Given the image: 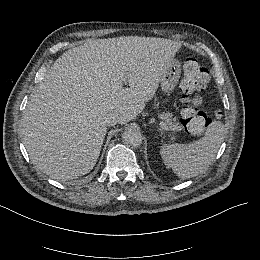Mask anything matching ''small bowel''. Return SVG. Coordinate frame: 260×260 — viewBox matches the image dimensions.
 I'll use <instances>...</instances> for the list:
<instances>
[{"instance_id": "c3829d8e", "label": "small bowel", "mask_w": 260, "mask_h": 260, "mask_svg": "<svg viewBox=\"0 0 260 260\" xmlns=\"http://www.w3.org/2000/svg\"><path fill=\"white\" fill-rule=\"evenodd\" d=\"M192 103L194 106H199L202 103V97L199 94H195L192 99Z\"/></svg>"}]
</instances>
